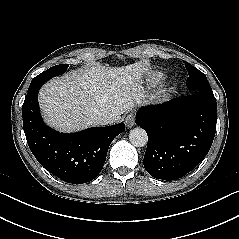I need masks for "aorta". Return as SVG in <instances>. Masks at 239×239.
Here are the masks:
<instances>
[{"label":"aorta","instance_id":"aorta-1","mask_svg":"<svg viewBox=\"0 0 239 239\" xmlns=\"http://www.w3.org/2000/svg\"><path fill=\"white\" fill-rule=\"evenodd\" d=\"M129 140L135 147H143L148 142V136L144 129L136 127L130 131Z\"/></svg>","mask_w":239,"mask_h":239}]
</instances>
